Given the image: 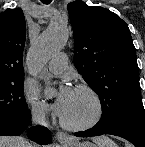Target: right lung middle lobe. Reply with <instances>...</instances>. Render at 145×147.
I'll use <instances>...</instances> for the list:
<instances>
[{
    "label": "right lung middle lobe",
    "mask_w": 145,
    "mask_h": 147,
    "mask_svg": "<svg viewBox=\"0 0 145 147\" xmlns=\"http://www.w3.org/2000/svg\"><path fill=\"white\" fill-rule=\"evenodd\" d=\"M23 84L24 76L0 82V123L20 119L28 113Z\"/></svg>",
    "instance_id": "dd1d6c3e"
}]
</instances>
